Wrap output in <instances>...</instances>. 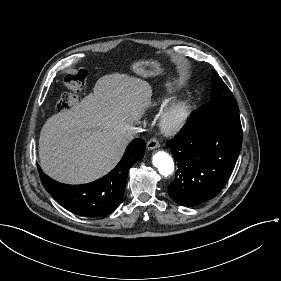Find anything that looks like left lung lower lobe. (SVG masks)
Here are the masks:
<instances>
[{"instance_id": "obj_1", "label": "left lung lower lobe", "mask_w": 281, "mask_h": 281, "mask_svg": "<svg viewBox=\"0 0 281 281\" xmlns=\"http://www.w3.org/2000/svg\"><path fill=\"white\" fill-rule=\"evenodd\" d=\"M242 145L238 113L196 112L187 128L169 143L178 162L168 194L183 206L214 198L229 179Z\"/></svg>"}]
</instances>
